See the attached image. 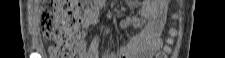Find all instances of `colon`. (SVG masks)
<instances>
[{
    "label": "colon",
    "instance_id": "5ec220e1",
    "mask_svg": "<svg viewBox=\"0 0 225 58\" xmlns=\"http://www.w3.org/2000/svg\"><path fill=\"white\" fill-rule=\"evenodd\" d=\"M82 2L53 0L41 15V27L45 40L50 43L53 58H74V45L79 38Z\"/></svg>",
    "mask_w": 225,
    "mask_h": 58
}]
</instances>
